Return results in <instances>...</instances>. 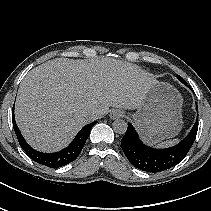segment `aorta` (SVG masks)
Masks as SVG:
<instances>
[{
	"label": "aorta",
	"instance_id": "1",
	"mask_svg": "<svg viewBox=\"0 0 211 211\" xmlns=\"http://www.w3.org/2000/svg\"><path fill=\"white\" fill-rule=\"evenodd\" d=\"M127 123L124 120L117 119L113 122V130L118 134H124L127 131Z\"/></svg>",
	"mask_w": 211,
	"mask_h": 211
}]
</instances>
